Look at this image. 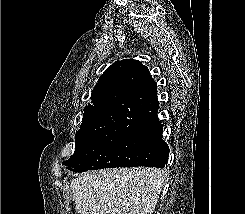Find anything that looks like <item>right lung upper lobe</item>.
Here are the masks:
<instances>
[{"mask_svg": "<svg viewBox=\"0 0 245 214\" xmlns=\"http://www.w3.org/2000/svg\"><path fill=\"white\" fill-rule=\"evenodd\" d=\"M155 93L156 83L146 66L133 59L116 61L100 76L76 135L134 126L140 117L141 99Z\"/></svg>", "mask_w": 245, "mask_h": 214, "instance_id": "right-lung-upper-lobe-1", "label": "right lung upper lobe"}]
</instances>
